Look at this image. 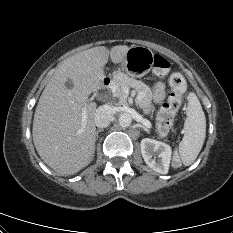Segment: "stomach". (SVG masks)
<instances>
[{"label":"stomach","mask_w":233,"mask_h":233,"mask_svg":"<svg viewBox=\"0 0 233 233\" xmlns=\"http://www.w3.org/2000/svg\"><path fill=\"white\" fill-rule=\"evenodd\" d=\"M153 61L154 53L151 49L144 46H132L128 49L120 67L128 76L142 78L152 69ZM117 74L120 72L118 71Z\"/></svg>","instance_id":"stomach-1"}]
</instances>
